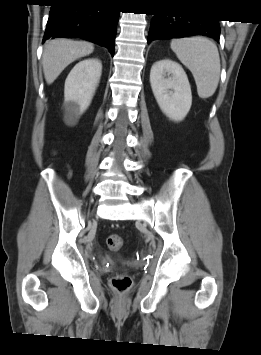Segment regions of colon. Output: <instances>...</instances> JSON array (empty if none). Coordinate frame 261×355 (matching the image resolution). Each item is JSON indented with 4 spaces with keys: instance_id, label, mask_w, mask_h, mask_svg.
I'll list each match as a JSON object with an SVG mask.
<instances>
[{
    "instance_id": "5ec220e1",
    "label": "colon",
    "mask_w": 261,
    "mask_h": 355,
    "mask_svg": "<svg viewBox=\"0 0 261 355\" xmlns=\"http://www.w3.org/2000/svg\"><path fill=\"white\" fill-rule=\"evenodd\" d=\"M106 243L110 250L117 251L122 247L123 240L118 234H110L106 239ZM110 285L117 292H125L130 289L132 279L129 275L119 274L112 277Z\"/></svg>"
}]
</instances>
